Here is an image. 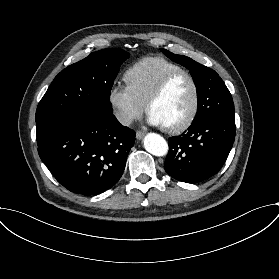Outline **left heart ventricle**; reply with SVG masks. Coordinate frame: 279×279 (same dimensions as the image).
Listing matches in <instances>:
<instances>
[{
	"label": "left heart ventricle",
	"mask_w": 279,
	"mask_h": 279,
	"mask_svg": "<svg viewBox=\"0 0 279 279\" xmlns=\"http://www.w3.org/2000/svg\"><path fill=\"white\" fill-rule=\"evenodd\" d=\"M193 101V85L186 76H181L151 106L150 112L158 116L163 121L164 126H174L181 123L189 115Z\"/></svg>",
	"instance_id": "obj_1"
}]
</instances>
